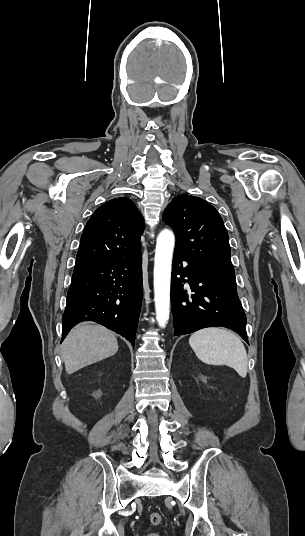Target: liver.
Returning <instances> with one entry per match:
<instances>
[{
    "instance_id": "liver-1",
    "label": "liver",
    "mask_w": 305,
    "mask_h": 536,
    "mask_svg": "<svg viewBox=\"0 0 305 536\" xmlns=\"http://www.w3.org/2000/svg\"><path fill=\"white\" fill-rule=\"evenodd\" d=\"M118 352V342L107 328L82 322L69 332L62 344L61 358L67 374L101 362Z\"/></svg>"
}]
</instances>
